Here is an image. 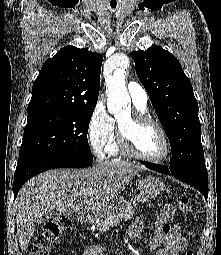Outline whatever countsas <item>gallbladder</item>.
Here are the masks:
<instances>
[{
	"label": "gallbladder",
	"mask_w": 221,
	"mask_h": 255,
	"mask_svg": "<svg viewBox=\"0 0 221 255\" xmlns=\"http://www.w3.org/2000/svg\"><path fill=\"white\" fill-rule=\"evenodd\" d=\"M53 213L54 212L52 210L44 212V214L37 219V223L41 224V223L46 222L47 220H49L52 217Z\"/></svg>",
	"instance_id": "bac80fb5"
}]
</instances>
